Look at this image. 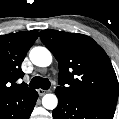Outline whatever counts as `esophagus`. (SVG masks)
<instances>
[{
    "instance_id": "1",
    "label": "esophagus",
    "mask_w": 119,
    "mask_h": 119,
    "mask_svg": "<svg viewBox=\"0 0 119 119\" xmlns=\"http://www.w3.org/2000/svg\"><path fill=\"white\" fill-rule=\"evenodd\" d=\"M47 91L46 90H43V89H38V94L40 96H43Z\"/></svg>"
}]
</instances>
